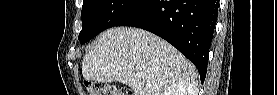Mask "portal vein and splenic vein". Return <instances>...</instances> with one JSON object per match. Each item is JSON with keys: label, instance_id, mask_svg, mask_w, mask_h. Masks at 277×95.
Returning <instances> with one entry per match:
<instances>
[{"label": "portal vein and splenic vein", "instance_id": "1", "mask_svg": "<svg viewBox=\"0 0 277 95\" xmlns=\"http://www.w3.org/2000/svg\"><path fill=\"white\" fill-rule=\"evenodd\" d=\"M137 76H142V74L141 73H137Z\"/></svg>", "mask_w": 277, "mask_h": 95}]
</instances>
